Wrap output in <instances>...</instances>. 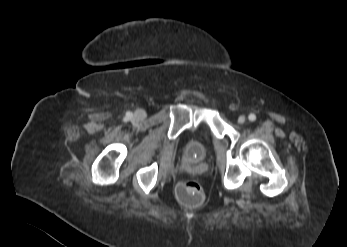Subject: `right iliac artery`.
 Instances as JSON below:
<instances>
[{
  "label": "right iliac artery",
  "instance_id": "obj_1",
  "mask_svg": "<svg viewBox=\"0 0 347 247\" xmlns=\"http://www.w3.org/2000/svg\"><path fill=\"white\" fill-rule=\"evenodd\" d=\"M131 117H132V113H131V112H127V113H126V118H127V119H130Z\"/></svg>",
  "mask_w": 347,
  "mask_h": 247
}]
</instances>
